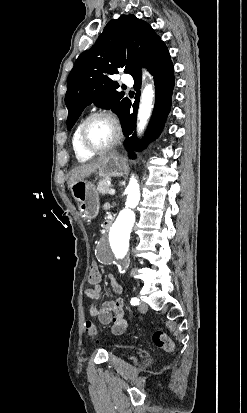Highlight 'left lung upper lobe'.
I'll return each mask as SVG.
<instances>
[{"label": "left lung upper lobe", "mask_w": 247, "mask_h": 413, "mask_svg": "<svg viewBox=\"0 0 247 413\" xmlns=\"http://www.w3.org/2000/svg\"><path fill=\"white\" fill-rule=\"evenodd\" d=\"M163 48L165 44L152 27L135 15L109 21L95 45L77 58L68 76L65 95L68 130L91 103L112 109L122 123L129 100L123 98V92L116 91L119 85L110 75L124 68L125 73L134 77Z\"/></svg>", "instance_id": "left-lung-upper-lobe-1"}]
</instances>
